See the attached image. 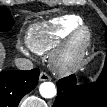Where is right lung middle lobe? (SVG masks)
Returning a JSON list of instances; mask_svg holds the SVG:
<instances>
[{
	"label": "right lung middle lobe",
	"mask_w": 107,
	"mask_h": 107,
	"mask_svg": "<svg viewBox=\"0 0 107 107\" xmlns=\"http://www.w3.org/2000/svg\"><path fill=\"white\" fill-rule=\"evenodd\" d=\"M14 25V19L12 18L10 11L5 7H0V30L8 31Z\"/></svg>",
	"instance_id": "obj_1"
}]
</instances>
